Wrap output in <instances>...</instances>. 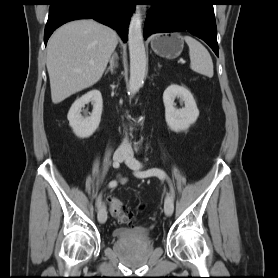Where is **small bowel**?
Masks as SVG:
<instances>
[{"instance_id": "c3829d8e", "label": "small bowel", "mask_w": 278, "mask_h": 278, "mask_svg": "<svg viewBox=\"0 0 278 278\" xmlns=\"http://www.w3.org/2000/svg\"><path fill=\"white\" fill-rule=\"evenodd\" d=\"M126 181H127V180H126L125 178L120 177V182H121V183H126Z\"/></svg>"}]
</instances>
